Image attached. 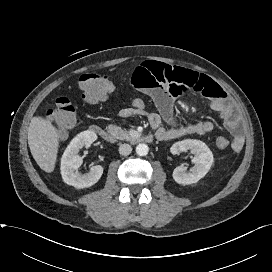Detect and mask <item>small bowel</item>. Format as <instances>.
Instances as JSON below:
<instances>
[{
    "instance_id": "obj_1",
    "label": "small bowel",
    "mask_w": 272,
    "mask_h": 272,
    "mask_svg": "<svg viewBox=\"0 0 272 272\" xmlns=\"http://www.w3.org/2000/svg\"><path fill=\"white\" fill-rule=\"evenodd\" d=\"M132 84L154 101L158 113L144 109L123 108L122 118L145 116L156 139L173 140L187 135H205L214 129L212 121L179 122L174 113V99L189 91L201 93L209 99L212 110L220 113L226 129L232 135L231 148L239 152L245 143L238 111L225 90L207 76L198 72L156 61H146L137 66L131 75ZM162 121L168 127L162 126Z\"/></svg>"
}]
</instances>
